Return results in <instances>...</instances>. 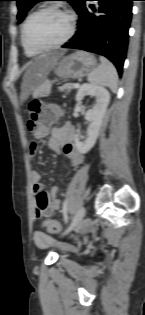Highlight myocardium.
I'll return each mask as SVG.
<instances>
[{
	"mask_svg": "<svg viewBox=\"0 0 145 315\" xmlns=\"http://www.w3.org/2000/svg\"><path fill=\"white\" fill-rule=\"evenodd\" d=\"M48 11L57 12V13L63 15L67 19V22H68L67 32L60 40H58L57 42H54L52 44H49L46 46H40V45L32 44L27 38L28 24L32 20V18H34L36 15L43 13V12H48ZM74 32H75V17H74V15L67 9H63V8H60V7L55 6V5H47V6L41 7L39 9H37L36 11L32 12L26 18V20L22 26L21 35H22V40H23L24 44L28 48L35 50V51L42 52V51L52 50V49H55L57 47L64 45L66 42H68L71 39Z\"/></svg>",
	"mask_w": 145,
	"mask_h": 315,
	"instance_id": "1",
	"label": "myocardium"
}]
</instances>
